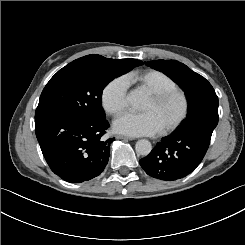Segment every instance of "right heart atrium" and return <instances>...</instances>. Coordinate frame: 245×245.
I'll use <instances>...</instances> for the list:
<instances>
[{
    "mask_svg": "<svg viewBox=\"0 0 245 245\" xmlns=\"http://www.w3.org/2000/svg\"><path fill=\"white\" fill-rule=\"evenodd\" d=\"M127 85L121 78H114L104 87L101 94L102 105L107 113L119 115L125 106Z\"/></svg>",
    "mask_w": 245,
    "mask_h": 245,
    "instance_id": "obj_1",
    "label": "right heart atrium"
}]
</instances>
